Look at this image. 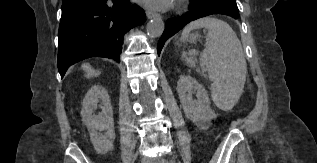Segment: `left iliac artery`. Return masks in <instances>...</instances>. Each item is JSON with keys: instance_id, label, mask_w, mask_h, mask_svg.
Wrapping results in <instances>:
<instances>
[{"instance_id": "44dca946", "label": "left iliac artery", "mask_w": 317, "mask_h": 163, "mask_svg": "<svg viewBox=\"0 0 317 163\" xmlns=\"http://www.w3.org/2000/svg\"><path fill=\"white\" fill-rule=\"evenodd\" d=\"M162 163H168L166 160H163V162Z\"/></svg>"}]
</instances>
